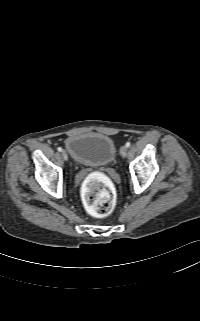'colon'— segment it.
<instances>
[{
    "label": "colon",
    "instance_id": "5ec220e1",
    "mask_svg": "<svg viewBox=\"0 0 200 321\" xmlns=\"http://www.w3.org/2000/svg\"><path fill=\"white\" fill-rule=\"evenodd\" d=\"M83 198L89 213L96 217L109 215L116 203L115 191L102 174H92L86 179Z\"/></svg>",
    "mask_w": 200,
    "mask_h": 321
}]
</instances>
